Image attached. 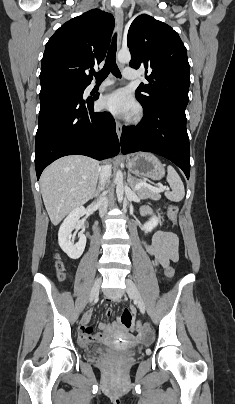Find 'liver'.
<instances>
[{
  "label": "liver",
  "instance_id": "1",
  "mask_svg": "<svg viewBox=\"0 0 235 404\" xmlns=\"http://www.w3.org/2000/svg\"><path fill=\"white\" fill-rule=\"evenodd\" d=\"M99 175V162L82 155L62 157L43 171L40 189L53 225L93 197Z\"/></svg>",
  "mask_w": 235,
  "mask_h": 404
}]
</instances>
